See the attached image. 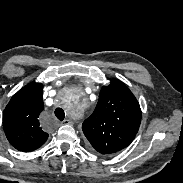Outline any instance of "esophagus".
<instances>
[{
	"mask_svg": "<svg viewBox=\"0 0 183 183\" xmlns=\"http://www.w3.org/2000/svg\"><path fill=\"white\" fill-rule=\"evenodd\" d=\"M72 124V122L68 119H65L64 121H62V125H70Z\"/></svg>",
	"mask_w": 183,
	"mask_h": 183,
	"instance_id": "obj_1",
	"label": "esophagus"
}]
</instances>
